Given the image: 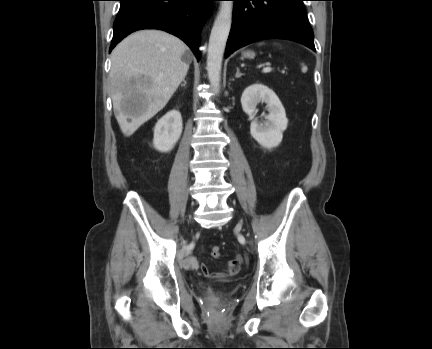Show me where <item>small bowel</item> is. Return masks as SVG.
Wrapping results in <instances>:
<instances>
[{"label":"small bowel","instance_id":"obj_1","mask_svg":"<svg viewBox=\"0 0 432 349\" xmlns=\"http://www.w3.org/2000/svg\"><path fill=\"white\" fill-rule=\"evenodd\" d=\"M241 259L237 258L230 261L226 268L222 271L212 272L209 271L205 266L201 268L202 274L209 280H227L237 275L240 270Z\"/></svg>","mask_w":432,"mask_h":349}]
</instances>
